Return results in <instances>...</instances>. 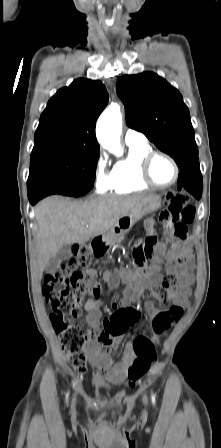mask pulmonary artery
I'll return each instance as SVG.
<instances>
[{"mask_svg":"<svg viewBox=\"0 0 221 448\" xmlns=\"http://www.w3.org/2000/svg\"><path fill=\"white\" fill-rule=\"evenodd\" d=\"M124 141L127 145L144 144L147 143V138L143 133L129 128L126 130Z\"/></svg>","mask_w":221,"mask_h":448,"instance_id":"pulmonary-artery-1","label":"pulmonary artery"}]
</instances>
